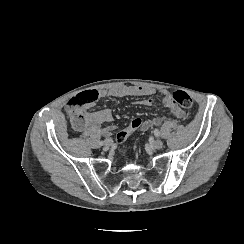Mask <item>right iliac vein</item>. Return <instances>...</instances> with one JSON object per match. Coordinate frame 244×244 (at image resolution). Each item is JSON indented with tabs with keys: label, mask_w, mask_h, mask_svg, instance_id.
Returning <instances> with one entry per match:
<instances>
[{
	"label": "right iliac vein",
	"mask_w": 244,
	"mask_h": 244,
	"mask_svg": "<svg viewBox=\"0 0 244 244\" xmlns=\"http://www.w3.org/2000/svg\"><path fill=\"white\" fill-rule=\"evenodd\" d=\"M104 145H105L106 148L111 147L113 145V140L110 139V138L106 139L105 142H104Z\"/></svg>",
	"instance_id": "1"
}]
</instances>
